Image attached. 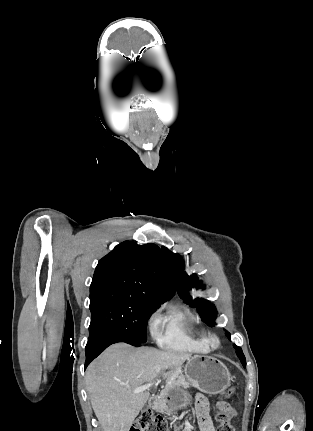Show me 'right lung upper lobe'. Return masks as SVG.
Listing matches in <instances>:
<instances>
[{"label": "right lung upper lobe", "mask_w": 313, "mask_h": 431, "mask_svg": "<svg viewBox=\"0 0 313 431\" xmlns=\"http://www.w3.org/2000/svg\"><path fill=\"white\" fill-rule=\"evenodd\" d=\"M109 291L126 292L164 303L176 288L163 252L155 244L125 241L103 257L90 286V297Z\"/></svg>", "instance_id": "cb5924a9"}]
</instances>
